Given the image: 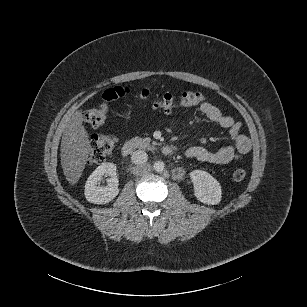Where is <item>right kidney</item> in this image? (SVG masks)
Segmentation results:
<instances>
[{"label":"right kidney","instance_id":"ca27d5eb","mask_svg":"<svg viewBox=\"0 0 307 307\" xmlns=\"http://www.w3.org/2000/svg\"><path fill=\"white\" fill-rule=\"evenodd\" d=\"M104 174L110 177L107 179V186H98ZM84 193L90 203L105 204L113 200L119 193L116 165L103 163L98 166L87 179Z\"/></svg>","mask_w":307,"mask_h":307}]
</instances>
